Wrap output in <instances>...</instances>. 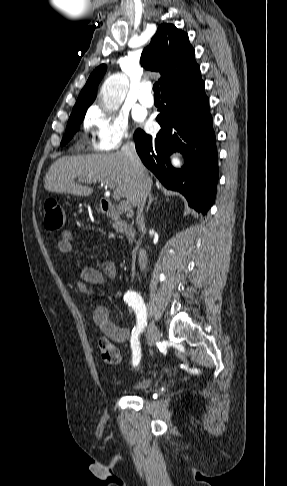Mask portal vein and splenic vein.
<instances>
[{
    "instance_id": "1",
    "label": "portal vein and splenic vein",
    "mask_w": 287,
    "mask_h": 486,
    "mask_svg": "<svg viewBox=\"0 0 287 486\" xmlns=\"http://www.w3.org/2000/svg\"><path fill=\"white\" fill-rule=\"evenodd\" d=\"M96 182V181H95ZM102 184H105L106 186H109L111 189H114V184L112 182H108V181H101ZM119 207L122 209V210H129L130 209V204L128 201H120L119 203Z\"/></svg>"
}]
</instances>
